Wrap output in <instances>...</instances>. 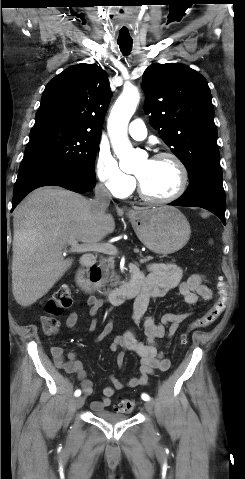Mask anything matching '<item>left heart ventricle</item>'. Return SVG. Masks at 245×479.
Returning <instances> with one entry per match:
<instances>
[{"mask_svg": "<svg viewBox=\"0 0 245 479\" xmlns=\"http://www.w3.org/2000/svg\"><path fill=\"white\" fill-rule=\"evenodd\" d=\"M147 194L153 197H165L177 188L179 173L174 162L168 158L145 159L136 173Z\"/></svg>", "mask_w": 245, "mask_h": 479, "instance_id": "1", "label": "left heart ventricle"}]
</instances>
